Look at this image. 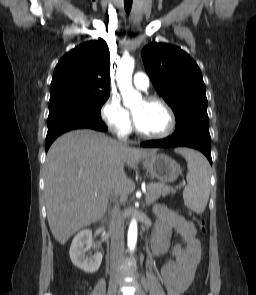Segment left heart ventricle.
Instances as JSON below:
<instances>
[{
  "label": "left heart ventricle",
  "mask_w": 256,
  "mask_h": 295,
  "mask_svg": "<svg viewBox=\"0 0 256 295\" xmlns=\"http://www.w3.org/2000/svg\"><path fill=\"white\" fill-rule=\"evenodd\" d=\"M131 111L138 128L149 134H159L168 127V114L166 110L157 103L138 101Z\"/></svg>",
  "instance_id": "obj_1"
}]
</instances>
